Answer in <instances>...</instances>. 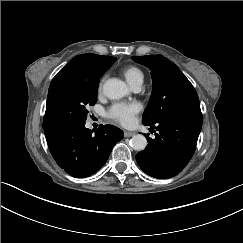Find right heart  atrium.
I'll return each instance as SVG.
<instances>
[{"label":"right heart atrium","instance_id":"d8ad5b80","mask_svg":"<svg viewBox=\"0 0 243 243\" xmlns=\"http://www.w3.org/2000/svg\"><path fill=\"white\" fill-rule=\"evenodd\" d=\"M107 77H108V74H107V73L103 74V75L100 77V79H99V81H98V84H97V92H98V95H101V94H102V92H103L104 82H105V80L107 79Z\"/></svg>","mask_w":243,"mask_h":243}]
</instances>
